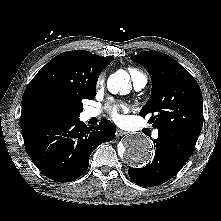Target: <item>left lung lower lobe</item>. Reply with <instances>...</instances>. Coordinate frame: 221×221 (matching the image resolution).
<instances>
[{
    "instance_id": "1",
    "label": "left lung lower lobe",
    "mask_w": 221,
    "mask_h": 221,
    "mask_svg": "<svg viewBox=\"0 0 221 221\" xmlns=\"http://www.w3.org/2000/svg\"><path fill=\"white\" fill-rule=\"evenodd\" d=\"M153 142L156 146L153 161L143 168L128 171L133 182L145 187L160 185L177 174L190 158L197 140L176 132L161 131Z\"/></svg>"
}]
</instances>
